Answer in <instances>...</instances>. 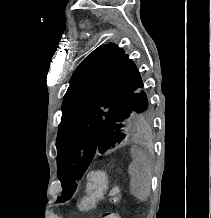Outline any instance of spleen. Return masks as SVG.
Here are the masks:
<instances>
[{"label":"spleen","instance_id":"spleen-1","mask_svg":"<svg viewBox=\"0 0 211 218\" xmlns=\"http://www.w3.org/2000/svg\"><path fill=\"white\" fill-rule=\"evenodd\" d=\"M132 162L129 166V174L131 176L130 188L133 196L146 202L151 192V172L149 164L142 152H131Z\"/></svg>","mask_w":211,"mask_h":218}]
</instances>
